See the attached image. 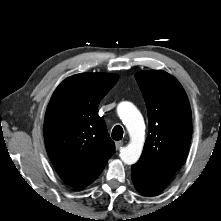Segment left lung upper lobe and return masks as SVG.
<instances>
[{
	"label": "left lung upper lobe",
	"mask_w": 221,
	"mask_h": 221,
	"mask_svg": "<svg viewBox=\"0 0 221 221\" xmlns=\"http://www.w3.org/2000/svg\"><path fill=\"white\" fill-rule=\"evenodd\" d=\"M148 111V136L137 162L170 179L182 164L191 141L192 116L187 95L176 78L162 70L135 75Z\"/></svg>",
	"instance_id": "5c2ea615"
}]
</instances>
